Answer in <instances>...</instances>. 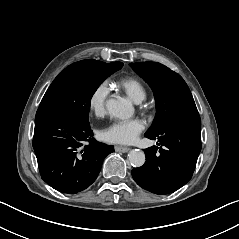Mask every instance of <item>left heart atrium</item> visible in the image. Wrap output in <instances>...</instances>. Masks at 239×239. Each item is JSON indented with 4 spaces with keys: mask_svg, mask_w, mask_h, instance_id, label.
<instances>
[{
    "mask_svg": "<svg viewBox=\"0 0 239 239\" xmlns=\"http://www.w3.org/2000/svg\"><path fill=\"white\" fill-rule=\"evenodd\" d=\"M145 129V121L139 117L128 120L114 119L101 131V139L117 144H132Z\"/></svg>",
    "mask_w": 239,
    "mask_h": 239,
    "instance_id": "obj_1",
    "label": "left heart atrium"
}]
</instances>
